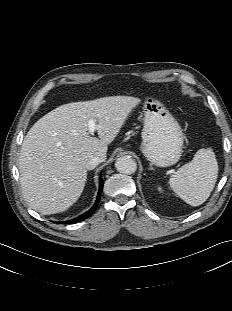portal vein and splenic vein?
<instances>
[{
	"label": "portal vein and splenic vein",
	"mask_w": 232,
	"mask_h": 311,
	"mask_svg": "<svg viewBox=\"0 0 232 311\" xmlns=\"http://www.w3.org/2000/svg\"><path fill=\"white\" fill-rule=\"evenodd\" d=\"M88 128H89V132L93 134V132L97 129V125L94 120L88 121Z\"/></svg>",
	"instance_id": "18ae733b"
}]
</instances>
